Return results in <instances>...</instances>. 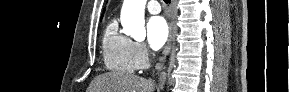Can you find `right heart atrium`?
<instances>
[{"label": "right heart atrium", "instance_id": "1", "mask_svg": "<svg viewBox=\"0 0 289 92\" xmlns=\"http://www.w3.org/2000/svg\"><path fill=\"white\" fill-rule=\"evenodd\" d=\"M132 58L136 69H144L150 63V53L142 42H132Z\"/></svg>", "mask_w": 289, "mask_h": 92}]
</instances>
